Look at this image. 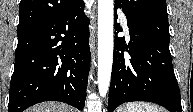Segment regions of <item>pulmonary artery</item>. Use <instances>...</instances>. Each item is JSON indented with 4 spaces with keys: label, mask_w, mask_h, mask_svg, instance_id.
<instances>
[{
    "label": "pulmonary artery",
    "mask_w": 193,
    "mask_h": 112,
    "mask_svg": "<svg viewBox=\"0 0 193 112\" xmlns=\"http://www.w3.org/2000/svg\"><path fill=\"white\" fill-rule=\"evenodd\" d=\"M119 17H120V20L123 23L124 27L127 29V19H126V16L124 15V13L119 11Z\"/></svg>",
    "instance_id": "pulmonary-artery-1"
}]
</instances>
